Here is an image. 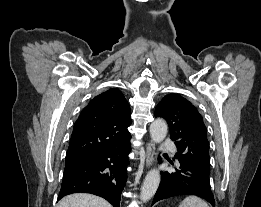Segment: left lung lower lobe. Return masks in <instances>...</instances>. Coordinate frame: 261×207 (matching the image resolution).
Segmentation results:
<instances>
[{
	"label": "left lung lower lobe",
	"mask_w": 261,
	"mask_h": 207,
	"mask_svg": "<svg viewBox=\"0 0 261 207\" xmlns=\"http://www.w3.org/2000/svg\"><path fill=\"white\" fill-rule=\"evenodd\" d=\"M170 163L174 165L172 161ZM177 165L178 169L176 168L174 172H164L161 174V183L152 205L157 201L173 196L195 195L205 199L215 207L209 172L182 159H178Z\"/></svg>",
	"instance_id": "left-lung-lower-lobe-1"
}]
</instances>
